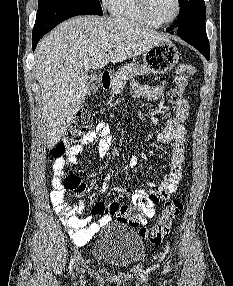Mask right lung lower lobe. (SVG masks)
<instances>
[{"mask_svg":"<svg viewBox=\"0 0 233 286\" xmlns=\"http://www.w3.org/2000/svg\"><path fill=\"white\" fill-rule=\"evenodd\" d=\"M77 15H94L88 10L74 6L72 4L60 3L45 13L36 17V22L32 33V48H36L38 41L59 23Z\"/></svg>","mask_w":233,"mask_h":286,"instance_id":"right-lung-lower-lobe-1","label":"right lung lower lobe"}]
</instances>
